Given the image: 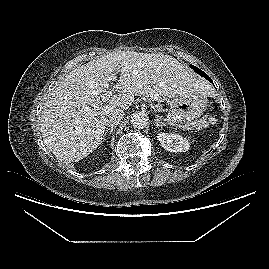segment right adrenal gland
<instances>
[{"instance_id": "obj_1", "label": "right adrenal gland", "mask_w": 269, "mask_h": 269, "mask_svg": "<svg viewBox=\"0 0 269 269\" xmlns=\"http://www.w3.org/2000/svg\"><path fill=\"white\" fill-rule=\"evenodd\" d=\"M113 131H114V127H111V128H109L108 130H105L104 135H103V138H105V136H106L107 134H111Z\"/></svg>"}]
</instances>
